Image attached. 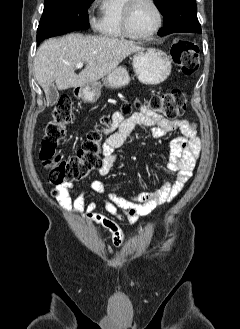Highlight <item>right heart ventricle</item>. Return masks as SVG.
Wrapping results in <instances>:
<instances>
[{
  "mask_svg": "<svg viewBox=\"0 0 240 329\" xmlns=\"http://www.w3.org/2000/svg\"><path fill=\"white\" fill-rule=\"evenodd\" d=\"M126 0H101L96 29L105 38L120 40L127 36L122 30V11Z\"/></svg>",
  "mask_w": 240,
  "mask_h": 329,
  "instance_id": "e07e8e85",
  "label": "right heart ventricle"
}]
</instances>
